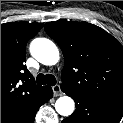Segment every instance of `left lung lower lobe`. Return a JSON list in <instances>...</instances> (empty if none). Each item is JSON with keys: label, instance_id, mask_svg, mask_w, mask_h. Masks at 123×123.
Listing matches in <instances>:
<instances>
[{"label": "left lung lower lobe", "instance_id": "obj_1", "mask_svg": "<svg viewBox=\"0 0 123 123\" xmlns=\"http://www.w3.org/2000/svg\"><path fill=\"white\" fill-rule=\"evenodd\" d=\"M63 92L72 97L76 104L74 113L62 123H119L123 108L116 105L92 100L82 94L71 93L61 86Z\"/></svg>", "mask_w": 123, "mask_h": 123}]
</instances>
